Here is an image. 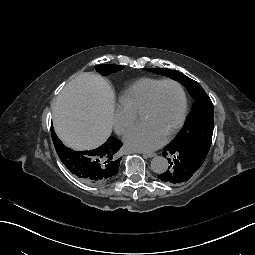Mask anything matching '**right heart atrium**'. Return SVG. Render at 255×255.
<instances>
[{"instance_id": "d8ad5b80", "label": "right heart atrium", "mask_w": 255, "mask_h": 255, "mask_svg": "<svg viewBox=\"0 0 255 255\" xmlns=\"http://www.w3.org/2000/svg\"><path fill=\"white\" fill-rule=\"evenodd\" d=\"M137 114L117 106L112 115L113 127L117 134L123 135L137 121Z\"/></svg>"}]
</instances>
